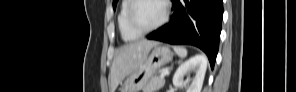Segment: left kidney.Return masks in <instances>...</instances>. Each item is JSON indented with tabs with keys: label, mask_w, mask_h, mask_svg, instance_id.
I'll use <instances>...</instances> for the list:
<instances>
[{
	"label": "left kidney",
	"mask_w": 296,
	"mask_h": 92,
	"mask_svg": "<svg viewBox=\"0 0 296 92\" xmlns=\"http://www.w3.org/2000/svg\"><path fill=\"white\" fill-rule=\"evenodd\" d=\"M206 69L207 58L204 55H195L178 67L173 76V85L177 87L185 86L184 76L195 72V76L186 92H201Z\"/></svg>",
	"instance_id": "5707ae66"
}]
</instances>
